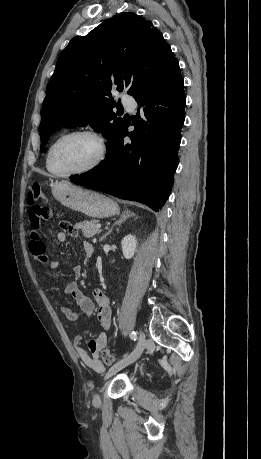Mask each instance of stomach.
Masks as SVG:
<instances>
[{
  "mask_svg": "<svg viewBox=\"0 0 261 459\" xmlns=\"http://www.w3.org/2000/svg\"><path fill=\"white\" fill-rule=\"evenodd\" d=\"M52 194L63 206L89 217L106 218L119 213V206L113 199L67 182L54 183Z\"/></svg>",
  "mask_w": 261,
  "mask_h": 459,
  "instance_id": "1",
  "label": "stomach"
}]
</instances>
